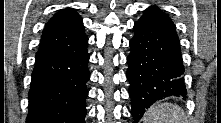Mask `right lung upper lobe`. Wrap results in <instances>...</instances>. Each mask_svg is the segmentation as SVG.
<instances>
[{
    "mask_svg": "<svg viewBox=\"0 0 221 123\" xmlns=\"http://www.w3.org/2000/svg\"><path fill=\"white\" fill-rule=\"evenodd\" d=\"M84 31L82 18L71 8L60 10L46 24L41 45H48L73 38Z\"/></svg>",
    "mask_w": 221,
    "mask_h": 123,
    "instance_id": "obj_1",
    "label": "right lung upper lobe"
}]
</instances>
